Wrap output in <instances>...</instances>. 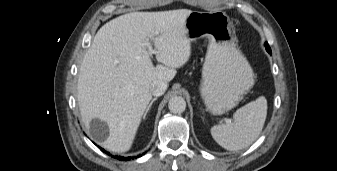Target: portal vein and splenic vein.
I'll return each instance as SVG.
<instances>
[{"label": "portal vein and splenic vein", "instance_id": "1", "mask_svg": "<svg viewBox=\"0 0 337 171\" xmlns=\"http://www.w3.org/2000/svg\"><path fill=\"white\" fill-rule=\"evenodd\" d=\"M147 47H148V50H149V52H150L151 55L156 53V51L152 48V46L150 45V43H147Z\"/></svg>", "mask_w": 337, "mask_h": 171}]
</instances>
